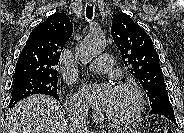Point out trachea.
I'll return each mask as SVG.
<instances>
[{
  "label": "trachea",
  "mask_w": 184,
  "mask_h": 133,
  "mask_svg": "<svg viewBox=\"0 0 184 133\" xmlns=\"http://www.w3.org/2000/svg\"><path fill=\"white\" fill-rule=\"evenodd\" d=\"M86 17L90 20L93 17V5H87L86 7Z\"/></svg>",
  "instance_id": "trachea-1"
}]
</instances>
